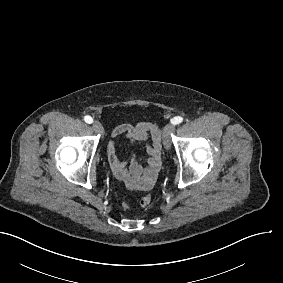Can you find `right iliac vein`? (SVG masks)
Returning <instances> with one entry per match:
<instances>
[{"instance_id": "obj_1", "label": "right iliac vein", "mask_w": 283, "mask_h": 283, "mask_svg": "<svg viewBox=\"0 0 283 283\" xmlns=\"http://www.w3.org/2000/svg\"><path fill=\"white\" fill-rule=\"evenodd\" d=\"M92 126L97 133H103V126L99 121H94Z\"/></svg>"}]
</instances>
